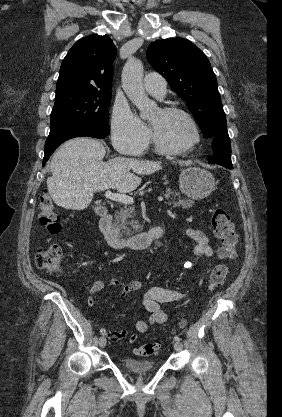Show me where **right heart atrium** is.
Here are the masks:
<instances>
[{
    "instance_id": "obj_1",
    "label": "right heart atrium",
    "mask_w": 282,
    "mask_h": 417,
    "mask_svg": "<svg viewBox=\"0 0 282 417\" xmlns=\"http://www.w3.org/2000/svg\"><path fill=\"white\" fill-rule=\"evenodd\" d=\"M111 138L119 153L139 155L148 146L150 132L128 106L116 104L111 119Z\"/></svg>"
}]
</instances>
